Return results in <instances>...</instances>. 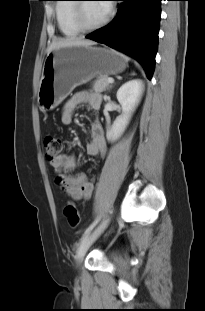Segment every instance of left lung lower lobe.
Here are the masks:
<instances>
[{
  "instance_id": "obj_1",
  "label": "left lung lower lobe",
  "mask_w": 205,
  "mask_h": 311,
  "mask_svg": "<svg viewBox=\"0 0 205 311\" xmlns=\"http://www.w3.org/2000/svg\"><path fill=\"white\" fill-rule=\"evenodd\" d=\"M161 0H124L116 17L86 37L138 60L151 79L158 46Z\"/></svg>"
}]
</instances>
